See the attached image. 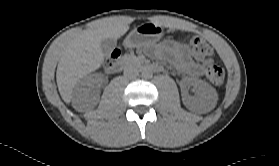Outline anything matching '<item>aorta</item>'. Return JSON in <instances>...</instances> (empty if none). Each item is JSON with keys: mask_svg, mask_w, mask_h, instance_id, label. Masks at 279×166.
Here are the masks:
<instances>
[{"mask_svg": "<svg viewBox=\"0 0 279 166\" xmlns=\"http://www.w3.org/2000/svg\"><path fill=\"white\" fill-rule=\"evenodd\" d=\"M141 75L145 79H150L153 76V72L150 68L145 67L142 69Z\"/></svg>", "mask_w": 279, "mask_h": 166, "instance_id": "obj_1", "label": "aorta"}]
</instances>
